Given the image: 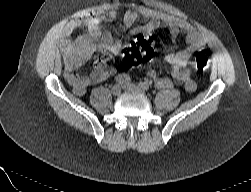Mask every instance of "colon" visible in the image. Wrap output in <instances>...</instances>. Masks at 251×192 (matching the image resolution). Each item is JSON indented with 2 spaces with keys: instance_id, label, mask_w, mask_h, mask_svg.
Masks as SVG:
<instances>
[{
  "instance_id": "1",
  "label": "colon",
  "mask_w": 251,
  "mask_h": 192,
  "mask_svg": "<svg viewBox=\"0 0 251 192\" xmlns=\"http://www.w3.org/2000/svg\"><path fill=\"white\" fill-rule=\"evenodd\" d=\"M156 55L157 48L154 38L149 34H143L122 50L121 59L126 65L133 66L144 61H150ZM211 61L212 56L209 53L200 51L196 55V69L199 71L206 70L210 66Z\"/></svg>"
}]
</instances>
